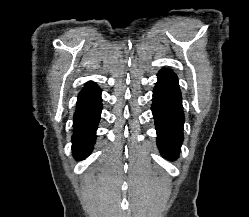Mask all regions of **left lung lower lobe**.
Here are the masks:
<instances>
[{
	"mask_svg": "<svg viewBox=\"0 0 249 217\" xmlns=\"http://www.w3.org/2000/svg\"><path fill=\"white\" fill-rule=\"evenodd\" d=\"M153 91L152 113L157 131V144L161 154L174 160L183 141L184 113L178 78L169 69L157 74Z\"/></svg>",
	"mask_w": 249,
	"mask_h": 217,
	"instance_id": "left-lung-lower-lobe-1",
	"label": "left lung lower lobe"
}]
</instances>
